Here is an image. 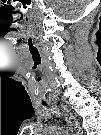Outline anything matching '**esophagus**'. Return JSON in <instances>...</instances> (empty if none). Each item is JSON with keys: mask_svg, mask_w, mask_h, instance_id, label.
I'll use <instances>...</instances> for the list:
<instances>
[{"mask_svg": "<svg viewBox=\"0 0 101 135\" xmlns=\"http://www.w3.org/2000/svg\"><path fill=\"white\" fill-rule=\"evenodd\" d=\"M62 108L65 112V116H66V120L68 122V125L70 126L71 131L73 132H77L78 134L81 131V127L80 124L78 122V120L75 118V116L69 111V109L62 105Z\"/></svg>", "mask_w": 101, "mask_h": 135, "instance_id": "1", "label": "esophagus"}]
</instances>
